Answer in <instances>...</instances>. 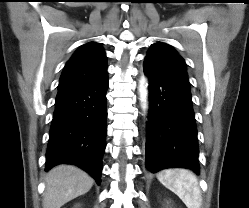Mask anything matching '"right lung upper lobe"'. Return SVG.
Wrapping results in <instances>:
<instances>
[{
  "mask_svg": "<svg viewBox=\"0 0 249 208\" xmlns=\"http://www.w3.org/2000/svg\"><path fill=\"white\" fill-rule=\"evenodd\" d=\"M107 74V60L102 46L96 42L82 45L66 63L60 77L59 92L96 81Z\"/></svg>",
  "mask_w": 249,
  "mask_h": 208,
  "instance_id": "obj_1",
  "label": "right lung upper lobe"
}]
</instances>
